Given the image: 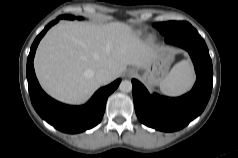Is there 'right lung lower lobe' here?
<instances>
[{"mask_svg": "<svg viewBox=\"0 0 238 158\" xmlns=\"http://www.w3.org/2000/svg\"><path fill=\"white\" fill-rule=\"evenodd\" d=\"M62 19L50 22L33 42L27 59V79L31 102L37 113L56 129L79 133L96 126L102 119L108 96L118 87L120 79L99 89L83 106H69L50 98L41 89L33 67L36 48L47 30Z\"/></svg>", "mask_w": 238, "mask_h": 158, "instance_id": "obj_1", "label": "right lung lower lobe"}]
</instances>
